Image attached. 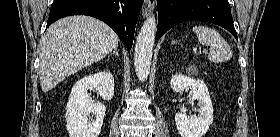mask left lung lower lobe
Masks as SVG:
<instances>
[{
    "instance_id": "1",
    "label": "left lung lower lobe",
    "mask_w": 280,
    "mask_h": 137,
    "mask_svg": "<svg viewBox=\"0 0 280 137\" xmlns=\"http://www.w3.org/2000/svg\"><path fill=\"white\" fill-rule=\"evenodd\" d=\"M157 6L156 39L173 26L186 21L217 24L238 39L228 0H157Z\"/></svg>"
}]
</instances>
